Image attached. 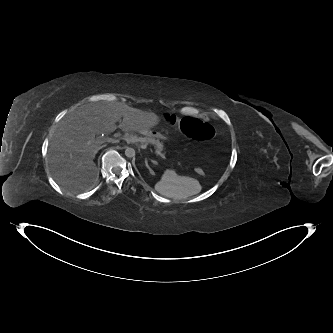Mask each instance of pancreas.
<instances>
[{"label": "pancreas", "instance_id": "1", "mask_svg": "<svg viewBox=\"0 0 333 333\" xmlns=\"http://www.w3.org/2000/svg\"><path fill=\"white\" fill-rule=\"evenodd\" d=\"M146 140H147V143H150V144H153L155 145V147L164 155V145L162 142H160L159 139H156L154 138L150 132H145V137H144Z\"/></svg>", "mask_w": 333, "mask_h": 333}]
</instances>
